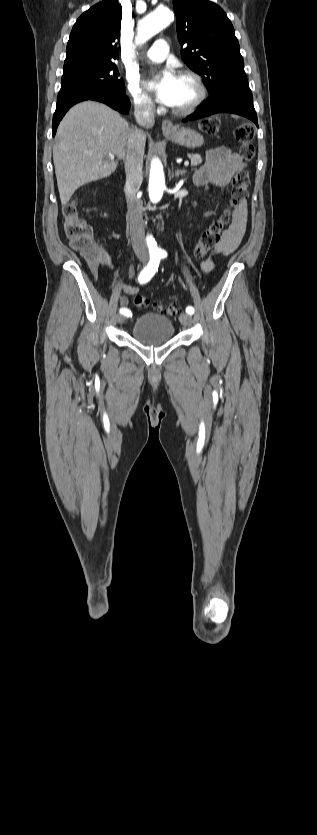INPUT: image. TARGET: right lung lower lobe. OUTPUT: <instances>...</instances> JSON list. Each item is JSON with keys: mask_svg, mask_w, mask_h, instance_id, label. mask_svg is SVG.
<instances>
[{"mask_svg": "<svg viewBox=\"0 0 317 835\" xmlns=\"http://www.w3.org/2000/svg\"><path fill=\"white\" fill-rule=\"evenodd\" d=\"M85 100H94L105 103L121 113H127L130 109V101L125 95V92H118L112 89H99L72 95L57 102L52 123L53 136L56 133L59 122L69 108L74 104Z\"/></svg>", "mask_w": 317, "mask_h": 835, "instance_id": "98d812e1", "label": "right lung lower lobe"}]
</instances>
